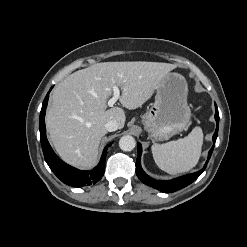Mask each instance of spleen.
Segmentation results:
<instances>
[{
  "label": "spleen",
  "instance_id": "spleen-1",
  "mask_svg": "<svg viewBox=\"0 0 247 247\" xmlns=\"http://www.w3.org/2000/svg\"><path fill=\"white\" fill-rule=\"evenodd\" d=\"M203 132L195 127L188 136L164 144H153L152 154L157 166L169 173L188 172L195 167L201 156Z\"/></svg>",
  "mask_w": 247,
  "mask_h": 247
}]
</instances>
